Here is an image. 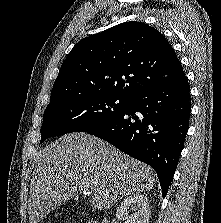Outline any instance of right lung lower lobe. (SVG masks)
<instances>
[{
  "instance_id": "98d812e1",
  "label": "right lung lower lobe",
  "mask_w": 221,
  "mask_h": 223,
  "mask_svg": "<svg viewBox=\"0 0 221 223\" xmlns=\"http://www.w3.org/2000/svg\"><path fill=\"white\" fill-rule=\"evenodd\" d=\"M190 109V86L184 76L139 93L121 114L86 132L152 166L165 197L188 131Z\"/></svg>"
}]
</instances>
